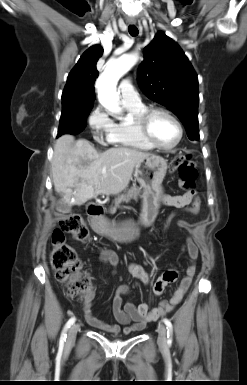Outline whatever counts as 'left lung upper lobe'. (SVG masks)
I'll return each mask as SVG.
<instances>
[{"instance_id": "1", "label": "left lung upper lobe", "mask_w": 247, "mask_h": 385, "mask_svg": "<svg viewBox=\"0 0 247 385\" xmlns=\"http://www.w3.org/2000/svg\"><path fill=\"white\" fill-rule=\"evenodd\" d=\"M143 54L138 69L141 90L174 112L190 140H198V78L188 58L163 32L157 33Z\"/></svg>"}]
</instances>
